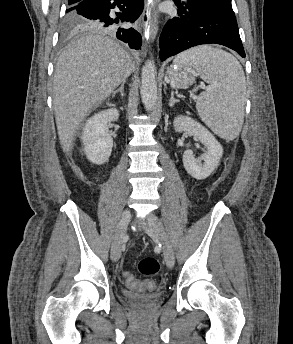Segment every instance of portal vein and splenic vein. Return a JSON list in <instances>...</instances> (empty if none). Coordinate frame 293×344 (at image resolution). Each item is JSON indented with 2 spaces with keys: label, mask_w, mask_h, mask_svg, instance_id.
<instances>
[{
  "label": "portal vein and splenic vein",
  "mask_w": 293,
  "mask_h": 344,
  "mask_svg": "<svg viewBox=\"0 0 293 344\" xmlns=\"http://www.w3.org/2000/svg\"><path fill=\"white\" fill-rule=\"evenodd\" d=\"M205 89H206V90H209V89H210V87H206Z\"/></svg>",
  "instance_id": "portal-vein-and-splenic-vein-1"
}]
</instances>
